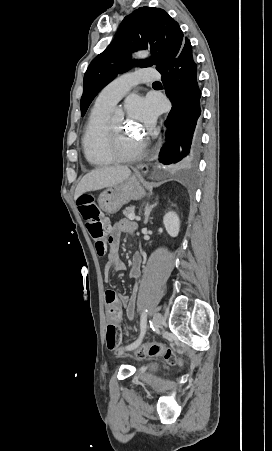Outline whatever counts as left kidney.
Instances as JSON below:
<instances>
[{
    "mask_svg": "<svg viewBox=\"0 0 272 451\" xmlns=\"http://www.w3.org/2000/svg\"><path fill=\"white\" fill-rule=\"evenodd\" d=\"M163 224L166 227L169 235L176 237L179 233L180 220L176 212H168L163 218Z\"/></svg>",
    "mask_w": 272,
    "mask_h": 451,
    "instance_id": "1",
    "label": "left kidney"
}]
</instances>
